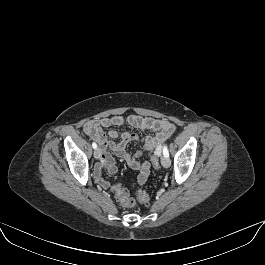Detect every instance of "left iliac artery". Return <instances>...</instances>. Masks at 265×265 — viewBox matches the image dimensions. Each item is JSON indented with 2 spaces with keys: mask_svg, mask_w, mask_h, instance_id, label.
<instances>
[{
  "mask_svg": "<svg viewBox=\"0 0 265 265\" xmlns=\"http://www.w3.org/2000/svg\"><path fill=\"white\" fill-rule=\"evenodd\" d=\"M163 155L166 156V157H169V152H168V149H167L166 145H164V147H163Z\"/></svg>",
  "mask_w": 265,
  "mask_h": 265,
  "instance_id": "obj_1",
  "label": "left iliac artery"
}]
</instances>
